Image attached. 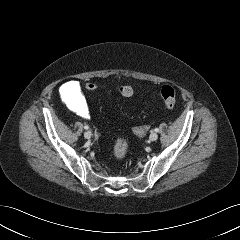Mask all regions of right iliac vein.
<instances>
[{
    "instance_id": "1",
    "label": "right iliac vein",
    "mask_w": 240,
    "mask_h": 240,
    "mask_svg": "<svg viewBox=\"0 0 240 240\" xmlns=\"http://www.w3.org/2000/svg\"><path fill=\"white\" fill-rule=\"evenodd\" d=\"M84 137H85L86 139H90V138L92 137V133H91L90 131H86V132L84 133Z\"/></svg>"
}]
</instances>
